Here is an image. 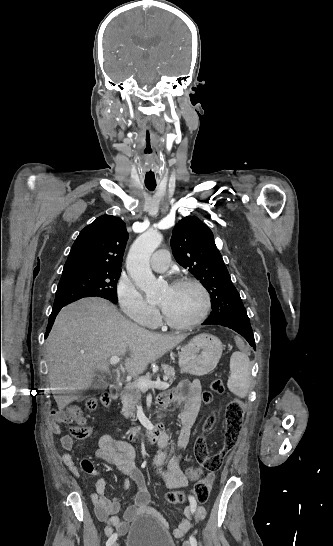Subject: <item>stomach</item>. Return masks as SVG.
Masks as SVG:
<instances>
[{"label":"stomach","mask_w":333,"mask_h":546,"mask_svg":"<svg viewBox=\"0 0 333 546\" xmlns=\"http://www.w3.org/2000/svg\"><path fill=\"white\" fill-rule=\"evenodd\" d=\"M221 341L209 333L196 335L179 354V367L184 373L203 376L212 372L221 358Z\"/></svg>","instance_id":"obj_1"}]
</instances>
